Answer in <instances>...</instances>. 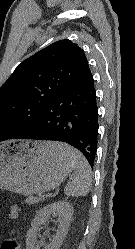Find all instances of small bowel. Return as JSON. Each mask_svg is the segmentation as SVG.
<instances>
[{
	"mask_svg": "<svg viewBox=\"0 0 135 249\" xmlns=\"http://www.w3.org/2000/svg\"><path fill=\"white\" fill-rule=\"evenodd\" d=\"M17 215V208L16 207H13L10 211V218H15Z\"/></svg>",
	"mask_w": 135,
	"mask_h": 249,
	"instance_id": "1",
	"label": "small bowel"
}]
</instances>
